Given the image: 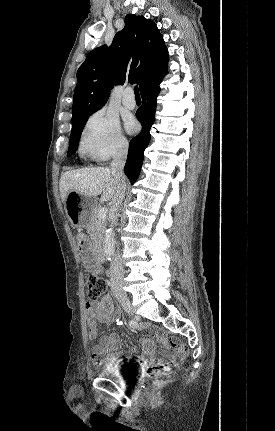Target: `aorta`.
Here are the masks:
<instances>
[{
    "label": "aorta",
    "mask_w": 275,
    "mask_h": 431,
    "mask_svg": "<svg viewBox=\"0 0 275 431\" xmlns=\"http://www.w3.org/2000/svg\"><path fill=\"white\" fill-rule=\"evenodd\" d=\"M103 249L107 259L111 260V257L115 253V234L111 229L106 231Z\"/></svg>",
    "instance_id": "obj_1"
}]
</instances>
